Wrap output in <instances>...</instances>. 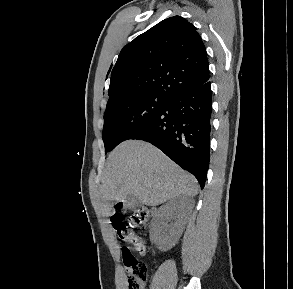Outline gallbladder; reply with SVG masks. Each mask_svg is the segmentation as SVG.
<instances>
[{"label": "gallbladder", "instance_id": "obj_1", "mask_svg": "<svg viewBox=\"0 0 293 289\" xmlns=\"http://www.w3.org/2000/svg\"><path fill=\"white\" fill-rule=\"evenodd\" d=\"M124 209L125 210H132L135 209L140 205V202L138 201L137 197L129 194L125 199H124Z\"/></svg>", "mask_w": 293, "mask_h": 289}]
</instances>
